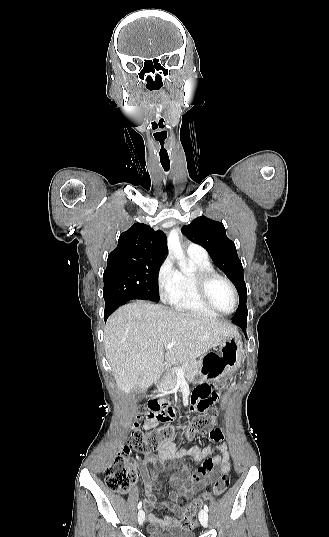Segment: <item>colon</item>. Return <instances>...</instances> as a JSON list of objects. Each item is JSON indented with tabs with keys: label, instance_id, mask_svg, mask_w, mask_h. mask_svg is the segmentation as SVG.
Returning a JSON list of instances; mask_svg holds the SVG:
<instances>
[{
	"label": "colon",
	"instance_id": "obj_1",
	"mask_svg": "<svg viewBox=\"0 0 329 537\" xmlns=\"http://www.w3.org/2000/svg\"><path fill=\"white\" fill-rule=\"evenodd\" d=\"M142 414L148 421L156 420V417L146 409L142 410ZM216 422L217 411L210 410L193 418L183 429V434L187 439H192L197 434L210 433L212 430L218 433ZM176 435V428L169 423H165L149 432H144L140 429L139 423L135 422L127 444L123 446L122 451L103 471L106 486L116 493H128L135 479V469L131 459L128 457L130 452L134 450L138 453H151L160 448L163 443L172 441ZM229 484L230 477L228 473H224L216 480L210 492H204L193 501L182 506V524L187 534L192 535L196 531L194 516L201 503L208 499L210 495H221Z\"/></svg>",
	"mask_w": 329,
	"mask_h": 537
}]
</instances>
